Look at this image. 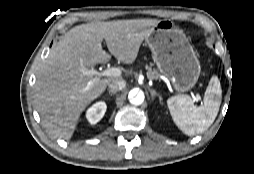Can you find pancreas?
Here are the masks:
<instances>
[{"label":"pancreas","mask_w":254,"mask_h":174,"mask_svg":"<svg viewBox=\"0 0 254 174\" xmlns=\"http://www.w3.org/2000/svg\"><path fill=\"white\" fill-rule=\"evenodd\" d=\"M146 69H148L147 71V77L149 79H157L159 77V74L156 70H151V68L146 66Z\"/></svg>","instance_id":"obj_1"}]
</instances>
